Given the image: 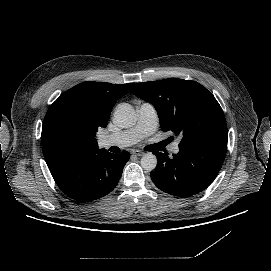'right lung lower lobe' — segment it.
Wrapping results in <instances>:
<instances>
[{
    "label": "right lung lower lobe",
    "instance_id": "right-lung-lower-lobe-1",
    "mask_svg": "<svg viewBox=\"0 0 271 271\" xmlns=\"http://www.w3.org/2000/svg\"><path fill=\"white\" fill-rule=\"evenodd\" d=\"M129 153L105 149L78 151L48 165L58 187L70 198L89 202L110 193L118 184Z\"/></svg>",
    "mask_w": 271,
    "mask_h": 271
}]
</instances>
